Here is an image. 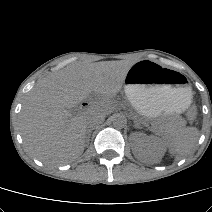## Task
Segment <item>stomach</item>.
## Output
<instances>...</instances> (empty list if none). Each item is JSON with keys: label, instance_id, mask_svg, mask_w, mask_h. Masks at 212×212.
I'll use <instances>...</instances> for the list:
<instances>
[{"label": "stomach", "instance_id": "1", "mask_svg": "<svg viewBox=\"0 0 212 212\" xmlns=\"http://www.w3.org/2000/svg\"><path fill=\"white\" fill-rule=\"evenodd\" d=\"M124 91L138 113L154 118L184 111L191 103V88L179 73L143 60L126 74Z\"/></svg>", "mask_w": 212, "mask_h": 212}]
</instances>
